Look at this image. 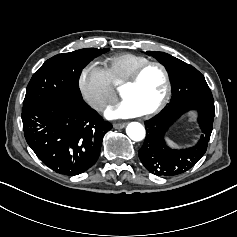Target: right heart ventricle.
Here are the masks:
<instances>
[{
	"instance_id": "right-heart-ventricle-1",
	"label": "right heart ventricle",
	"mask_w": 237,
	"mask_h": 237,
	"mask_svg": "<svg viewBox=\"0 0 237 237\" xmlns=\"http://www.w3.org/2000/svg\"><path fill=\"white\" fill-rule=\"evenodd\" d=\"M150 60L144 56L122 53L105 60V71L111 83L122 85L139 67Z\"/></svg>"
}]
</instances>
